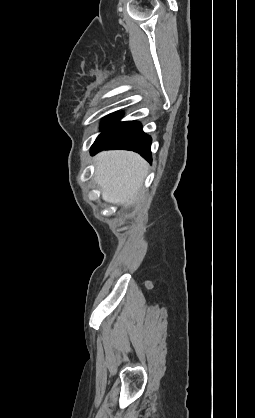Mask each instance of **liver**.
Masks as SVG:
<instances>
[{
  "instance_id": "obj_1",
  "label": "liver",
  "mask_w": 255,
  "mask_h": 418,
  "mask_svg": "<svg viewBox=\"0 0 255 418\" xmlns=\"http://www.w3.org/2000/svg\"><path fill=\"white\" fill-rule=\"evenodd\" d=\"M95 182L104 201L128 207L135 203L148 163L131 151H107L95 158Z\"/></svg>"
}]
</instances>
